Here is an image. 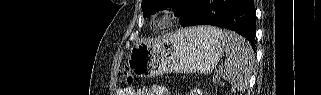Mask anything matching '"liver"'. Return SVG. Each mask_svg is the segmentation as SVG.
<instances>
[{
    "instance_id": "6515ba94",
    "label": "liver",
    "mask_w": 321,
    "mask_h": 95,
    "mask_svg": "<svg viewBox=\"0 0 321 95\" xmlns=\"http://www.w3.org/2000/svg\"><path fill=\"white\" fill-rule=\"evenodd\" d=\"M193 29L196 30V31H198V32H200L201 34H204V35H205L203 29H201L200 27L193 28Z\"/></svg>"
}]
</instances>
